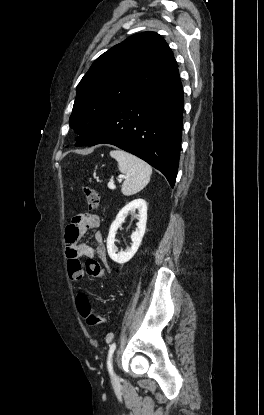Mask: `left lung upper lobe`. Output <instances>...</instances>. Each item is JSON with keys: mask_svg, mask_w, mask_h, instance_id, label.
<instances>
[{"mask_svg": "<svg viewBox=\"0 0 264 415\" xmlns=\"http://www.w3.org/2000/svg\"><path fill=\"white\" fill-rule=\"evenodd\" d=\"M176 68L170 47L155 32L133 35L103 53L77 85L69 119L80 134L76 145L81 146L124 99Z\"/></svg>", "mask_w": 264, "mask_h": 415, "instance_id": "5c2ea615", "label": "left lung upper lobe"}]
</instances>
